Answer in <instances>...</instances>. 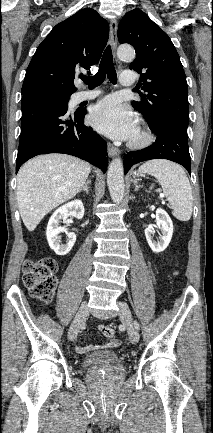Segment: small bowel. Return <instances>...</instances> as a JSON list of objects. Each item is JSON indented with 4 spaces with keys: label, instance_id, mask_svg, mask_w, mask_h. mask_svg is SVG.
Returning <instances> with one entry per match:
<instances>
[{
    "label": "small bowel",
    "instance_id": "c3829d8e",
    "mask_svg": "<svg viewBox=\"0 0 213 433\" xmlns=\"http://www.w3.org/2000/svg\"><path fill=\"white\" fill-rule=\"evenodd\" d=\"M120 344V340L119 339H112L111 341L105 343L104 345H102L103 348H115ZM95 348V346L92 345H86V346H77L76 347V351L80 354H84L87 353L91 350H93Z\"/></svg>",
    "mask_w": 213,
    "mask_h": 433
}]
</instances>
